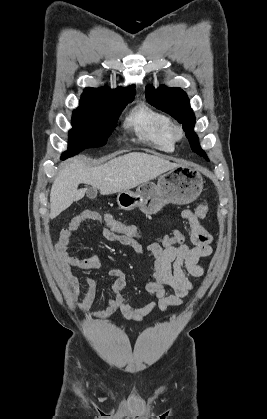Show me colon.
<instances>
[{
    "instance_id": "colon-1",
    "label": "colon",
    "mask_w": 267,
    "mask_h": 419,
    "mask_svg": "<svg viewBox=\"0 0 267 419\" xmlns=\"http://www.w3.org/2000/svg\"><path fill=\"white\" fill-rule=\"evenodd\" d=\"M209 211V206L206 203L198 205L195 209V215L198 217H205ZM105 228L114 233L119 240V243L125 246L143 245V236L140 230L135 226L123 221L115 219L109 214H105L102 218ZM184 240V235L181 231L174 232L171 235L164 236L159 239H151L147 242V246L161 244L169 246L177 244Z\"/></svg>"
}]
</instances>
